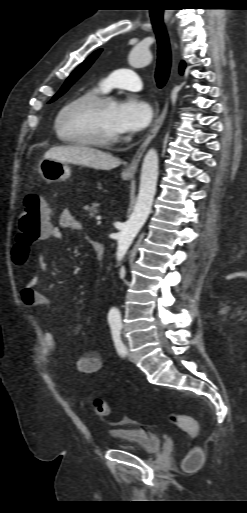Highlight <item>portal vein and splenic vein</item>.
<instances>
[{
    "instance_id": "18ae733b",
    "label": "portal vein and splenic vein",
    "mask_w": 247,
    "mask_h": 513,
    "mask_svg": "<svg viewBox=\"0 0 247 513\" xmlns=\"http://www.w3.org/2000/svg\"><path fill=\"white\" fill-rule=\"evenodd\" d=\"M97 224H101L100 218H97Z\"/></svg>"
}]
</instances>
